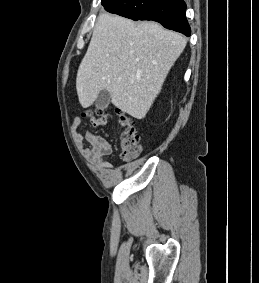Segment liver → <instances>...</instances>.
Here are the masks:
<instances>
[{
  "mask_svg": "<svg viewBox=\"0 0 259 283\" xmlns=\"http://www.w3.org/2000/svg\"><path fill=\"white\" fill-rule=\"evenodd\" d=\"M185 46L182 35L158 23L102 13L77 72L81 106L88 108L107 90L115 107L144 118Z\"/></svg>",
  "mask_w": 259,
  "mask_h": 283,
  "instance_id": "obj_1",
  "label": "liver"
}]
</instances>
